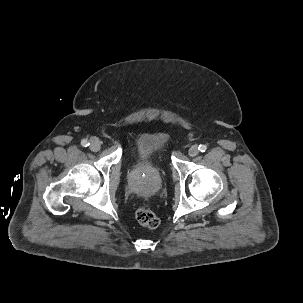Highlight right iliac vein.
Masks as SVG:
<instances>
[{"label": "right iliac vein", "instance_id": "obj_1", "mask_svg": "<svg viewBox=\"0 0 303 303\" xmlns=\"http://www.w3.org/2000/svg\"><path fill=\"white\" fill-rule=\"evenodd\" d=\"M101 148V143H100V140L98 138H92L90 140V149L92 151H99Z\"/></svg>", "mask_w": 303, "mask_h": 303}]
</instances>
